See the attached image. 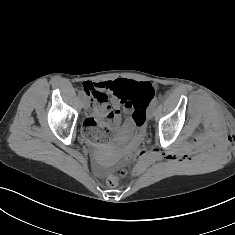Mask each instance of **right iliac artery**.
<instances>
[{
	"instance_id": "right-iliac-artery-1",
	"label": "right iliac artery",
	"mask_w": 235,
	"mask_h": 235,
	"mask_svg": "<svg viewBox=\"0 0 235 235\" xmlns=\"http://www.w3.org/2000/svg\"><path fill=\"white\" fill-rule=\"evenodd\" d=\"M79 95H80L81 97H84L82 91H79Z\"/></svg>"
}]
</instances>
